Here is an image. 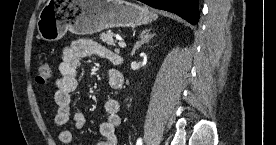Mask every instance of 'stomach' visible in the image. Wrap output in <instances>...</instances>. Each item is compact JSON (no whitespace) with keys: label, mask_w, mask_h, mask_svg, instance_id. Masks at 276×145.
Returning a JSON list of instances; mask_svg holds the SVG:
<instances>
[{"label":"stomach","mask_w":276,"mask_h":145,"mask_svg":"<svg viewBox=\"0 0 276 145\" xmlns=\"http://www.w3.org/2000/svg\"><path fill=\"white\" fill-rule=\"evenodd\" d=\"M157 19L147 7L124 0H49L37 22L41 39L53 42L67 31L88 35L112 27H134Z\"/></svg>","instance_id":"1"}]
</instances>
